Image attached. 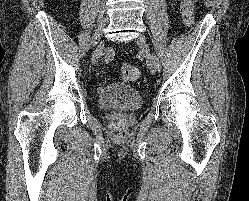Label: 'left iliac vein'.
I'll use <instances>...</instances> for the list:
<instances>
[{"label": "left iliac vein", "mask_w": 249, "mask_h": 201, "mask_svg": "<svg viewBox=\"0 0 249 201\" xmlns=\"http://www.w3.org/2000/svg\"><path fill=\"white\" fill-rule=\"evenodd\" d=\"M137 45L140 47L142 54L144 57H146L147 65L152 73H156V65L154 63V60L150 54V47L148 45V42L146 40V37L143 35H140L136 40Z\"/></svg>", "instance_id": "4c4485c4"}]
</instances>
